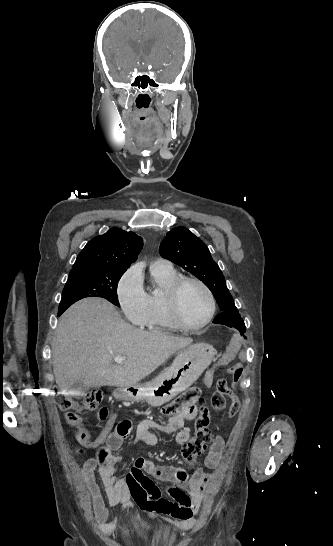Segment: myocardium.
<instances>
[{
    "label": "myocardium",
    "mask_w": 333,
    "mask_h": 546,
    "mask_svg": "<svg viewBox=\"0 0 333 546\" xmlns=\"http://www.w3.org/2000/svg\"><path fill=\"white\" fill-rule=\"evenodd\" d=\"M187 283H194L198 285L206 293L209 301V310L206 317L202 322L196 325L186 323L183 320L178 307L180 290ZM164 307L169 320L176 326V328L183 331H198L206 327L212 321L216 313V299L212 290L204 281L191 276H182L177 278L167 290L164 296Z\"/></svg>",
    "instance_id": "obj_1"
}]
</instances>
